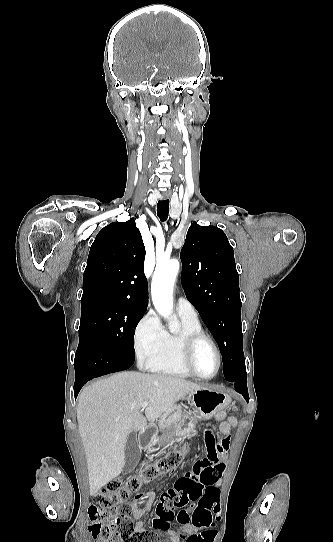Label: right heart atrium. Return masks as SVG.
<instances>
[{"instance_id":"right-heart-atrium-1","label":"right heart atrium","mask_w":333,"mask_h":542,"mask_svg":"<svg viewBox=\"0 0 333 542\" xmlns=\"http://www.w3.org/2000/svg\"><path fill=\"white\" fill-rule=\"evenodd\" d=\"M165 337V329L153 312H148L137 324L134 331L136 351L159 345Z\"/></svg>"}]
</instances>
